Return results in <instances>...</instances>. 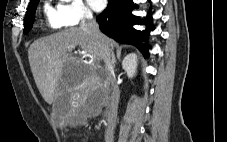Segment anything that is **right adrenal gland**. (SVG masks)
I'll return each mask as SVG.
<instances>
[{
    "label": "right adrenal gland",
    "mask_w": 227,
    "mask_h": 142,
    "mask_svg": "<svg viewBox=\"0 0 227 142\" xmlns=\"http://www.w3.org/2000/svg\"><path fill=\"white\" fill-rule=\"evenodd\" d=\"M111 57H112V64H113V67L115 68V64H116V57H115V54H114V52H113V51L111 52Z\"/></svg>",
    "instance_id": "right-adrenal-gland-1"
}]
</instances>
